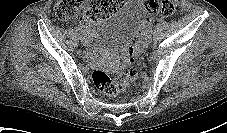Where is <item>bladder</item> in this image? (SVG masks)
I'll use <instances>...</instances> for the list:
<instances>
[{
	"label": "bladder",
	"instance_id": "obj_1",
	"mask_svg": "<svg viewBox=\"0 0 227 133\" xmlns=\"http://www.w3.org/2000/svg\"><path fill=\"white\" fill-rule=\"evenodd\" d=\"M144 18L141 0H129L100 27L95 47L111 53H122L136 36Z\"/></svg>",
	"mask_w": 227,
	"mask_h": 133
}]
</instances>
